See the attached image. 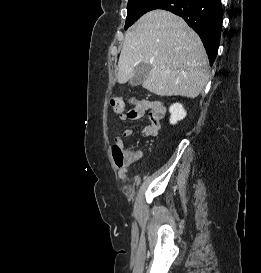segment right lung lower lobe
I'll return each instance as SVG.
<instances>
[{
    "label": "right lung lower lobe",
    "instance_id": "right-lung-lower-lobe-1",
    "mask_svg": "<svg viewBox=\"0 0 261 273\" xmlns=\"http://www.w3.org/2000/svg\"><path fill=\"white\" fill-rule=\"evenodd\" d=\"M158 9L168 10L187 22L200 36L212 65L220 43L221 0H164Z\"/></svg>",
    "mask_w": 261,
    "mask_h": 273
}]
</instances>
